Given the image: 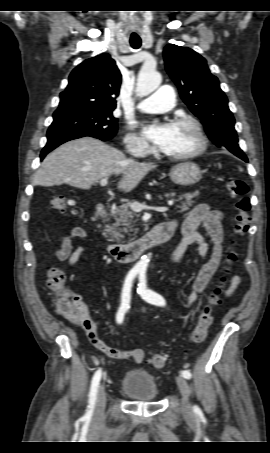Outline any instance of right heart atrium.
<instances>
[{
	"label": "right heart atrium",
	"instance_id": "obj_1",
	"mask_svg": "<svg viewBox=\"0 0 270 453\" xmlns=\"http://www.w3.org/2000/svg\"><path fill=\"white\" fill-rule=\"evenodd\" d=\"M125 148L133 154L144 155L150 151L148 143L134 132H129L124 138Z\"/></svg>",
	"mask_w": 270,
	"mask_h": 453
}]
</instances>
